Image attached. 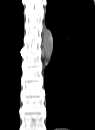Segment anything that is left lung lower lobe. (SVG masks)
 <instances>
[{
  "mask_svg": "<svg viewBox=\"0 0 95 130\" xmlns=\"http://www.w3.org/2000/svg\"><path fill=\"white\" fill-rule=\"evenodd\" d=\"M54 54L45 70L47 128L95 130V23L46 14Z\"/></svg>",
  "mask_w": 95,
  "mask_h": 130,
  "instance_id": "0a47b994",
  "label": "left lung lower lobe"
}]
</instances>
